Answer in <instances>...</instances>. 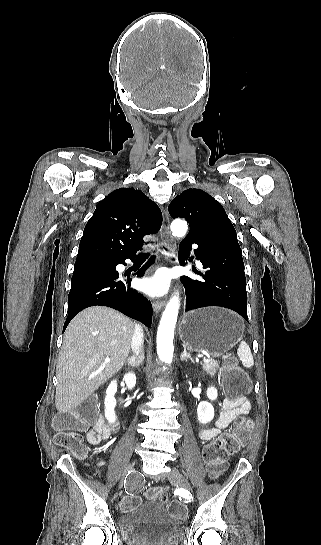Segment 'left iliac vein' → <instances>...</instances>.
Returning a JSON list of instances; mask_svg holds the SVG:
<instances>
[{
    "mask_svg": "<svg viewBox=\"0 0 321 545\" xmlns=\"http://www.w3.org/2000/svg\"><path fill=\"white\" fill-rule=\"evenodd\" d=\"M169 480L186 490L191 489L186 477H184L176 468L171 469V472L169 474Z\"/></svg>",
    "mask_w": 321,
    "mask_h": 545,
    "instance_id": "left-iliac-vein-1",
    "label": "left iliac vein"
}]
</instances>
